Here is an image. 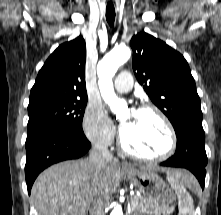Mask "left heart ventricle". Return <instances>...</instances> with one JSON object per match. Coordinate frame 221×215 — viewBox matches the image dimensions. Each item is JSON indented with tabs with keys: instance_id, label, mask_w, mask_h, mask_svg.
I'll use <instances>...</instances> for the list:
<instances>
[{
	"instance_id": "left-heart-ventricle-1",
	"label": "left heart ventricle",
	"mask_w": 221,
	"mask_h": 215,
	"mask_svg": "<svg viewBox=\"0 0 221 215\" xmlns=\"http://www.w3.org/2000/svg\"><path fill=\"white\" fill-rule=\"evenodd\" d=\"M122 135L132 151L157 156L168 147V134L162 121L152 112H127L123 118Z\"/></svg>"
}]
</instances>
